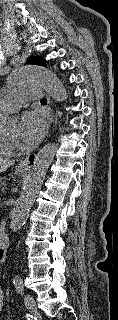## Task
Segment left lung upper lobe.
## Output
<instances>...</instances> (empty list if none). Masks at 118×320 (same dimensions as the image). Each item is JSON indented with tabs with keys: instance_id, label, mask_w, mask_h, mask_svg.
<instances>
[{
	"instance_id": "1",
	"label": "left lung upper lobe",
	"mask_w": 118,
	"mask_h": 320,
	"mask_svg": "<svg viewBox=\"0 0 118 320\" xmlns=\"http://www.w3.org/2000/svg\"><path fill=\"white\" fill-rule=\"evenodd\" d=\"M28 62L31 63V64H37V65L45 66V60L42 57L30 58L28 60Z\"/></svg>"
}]
</instances>
